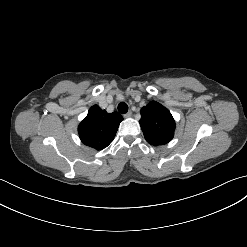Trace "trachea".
Listing matches in <instances>:
<instances>
[{"instance_id":"3493384b","label":"trachea","mask_w":247,"mask_h":247,"mask_svg":"<svg viewBox=\"0 0 247 247\" xmlns=\"http://www.w3.org/2000/svg\"><path fill=\"white\" fill-rule=\"evenodd\" d=\"M118 111L121 114H125L128 111V105L125 102H121L118 104Z\"/></svg>"}]
</instances>
